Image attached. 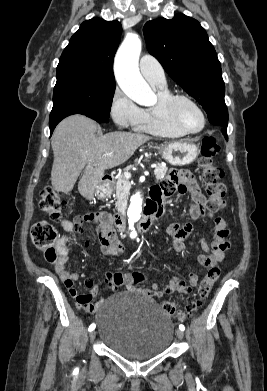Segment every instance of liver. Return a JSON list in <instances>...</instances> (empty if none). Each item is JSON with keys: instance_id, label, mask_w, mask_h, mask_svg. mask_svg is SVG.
<instances>
[{"instance_id": "6515ba94", "label": "liver", "mask_w": 267, "mask_h": 391, "mask_svg": "<svg viewBox=\"0 0 267 391\" xmlns=\"http://www.w3.org/2000/svg\"><path fill=\"white\" fill-rule=\"evenodd\" d=\"M96 130L94 120L79 114L65 118L55 128L51 141L54 154L51 184L58 192L72 191L85 168L78 190L86 199H92L105 170L126 162L151 139L145 134L121 131L96 137Z\"/></svg>"}]
</instances>
